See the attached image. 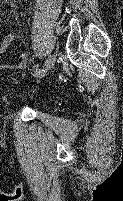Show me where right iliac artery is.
I'll list each match as a JSON object with an SVG mask.
<instances>
[{"label": "right iliac artery", "mask_w": 123, "mask_h": 201, "mask_svg": "<svg viewBox=\"0 0 123 201\" xmlns=\"http://www.w3.org/2000/svg\"><path fill=\"white\" fill-rule=\"evenodd\" d=\"M45 75V70L44 69H39V70H36L35 72H34V76H36V77H43Z\"/></svg>", "instance_id": "obj_1"}]
</instances>
